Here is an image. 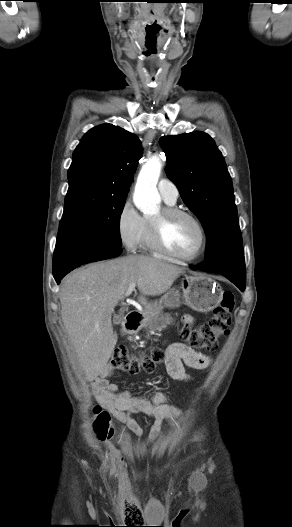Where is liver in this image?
<instances>
[{"instance_id": "obj_1", "label": "liver", "mask_w": 292, "mask_h": 527, "mask_svg": "<svg viewBox=\"0 0 292 527\" xmlns=\"http://www.w3.org/2000/svg\"><path fill=\"white\" fill-rule=\"evenodd\" d=\"M185 269L162 260L128 255L79 268L60 288L61 316L88 381L106 367L117 343L111 315L129 285L137 284L139 302L168 291Z\"/></svg>"}]
</instances>
